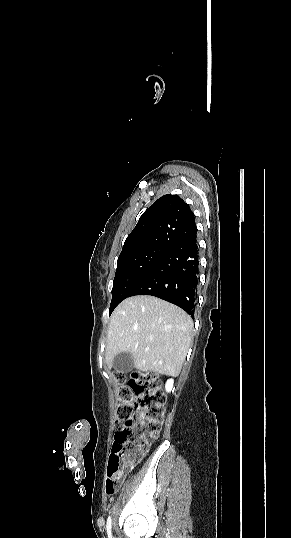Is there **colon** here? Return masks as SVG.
Masks as SVG:
<instances>
[{"label":"colon","instance_id":"colon-1","mask_svg":"<svg viewBox=\"0 0 291 538\" xmlns=\"http://www.w3.org/2000/svg\"><path fill=\"white\" fill-rule=\"evenodd\" d=\"M119 405L114 442L107 462L105 489L114 493L125 473L159 435L165 418V395L154 373L118 378Z\"/></svg>","mask_w":291,"mask_h":538}]
</instances>
